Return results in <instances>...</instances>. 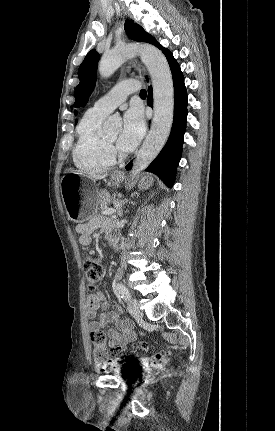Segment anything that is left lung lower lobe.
<instances>
[{
	"label": "left lung lower lobe",
	"instance_id": "1",
	"mask_svg": "<svg viewBox=\"0 0 275 431\" xmlns=\"http://www.w3.org/2000/svg\"><path fill=\"white\" fill-rule=\"evenodd\" d=\"M169 63L174 85V119L168 141L156 159L148 166L146 171L155 173L168 186L172 187L176 176L177 165L180 161L183 146V137L186 129L187 92L180 66L167 49L164 52ZM152 87L148 88L147 104L153 105ZM132 163L126 166L131 169Z\"/></svg>",
	"mask_w": 275,
	"mask_h": 431
}]
</instances>
